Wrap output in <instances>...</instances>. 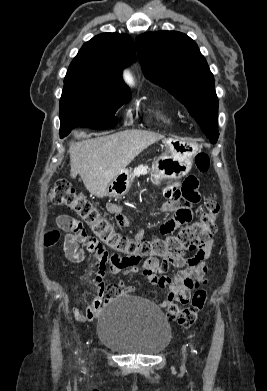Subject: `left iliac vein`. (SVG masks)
Returning <instances> with one entry per match:
<instances>
[{
  "mask_svg": "<svg viewBox=\"0 0 267 391\" xmlns=\"http://www.w3.org/2000/svg\"><path fill=\"white\" fill-rule=\"evenodd\" d=\"M183 356H184V358H185V349L183 350Z\"/></svg>",
  "mask_w": 267,
  "mask_h": 391,
  "instance_id": "4c4485c4",
  "label": "left iliac vein"
}]
</instances>
